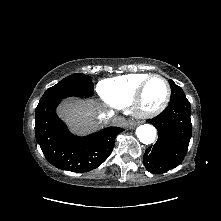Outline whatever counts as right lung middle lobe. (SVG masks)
<instances>
[{
	"label": "right lung middle lobe",
	"instance_id": "obj_1",
	"mask_svg": "<svg viewBox=\"0 0 221 221\" xmlns=\"http://www.w3.org/2000/svg\"><path fill=\"white\" fill-rule=\"evenodd\" d=\"M94 93V85L87 75L76 73L70 75L56 85L48 88L40 101L58 96H83L91 97Z\"/></svg>",
	"mask_w": 221,
	"mask_h": 221
}]
</instances>
